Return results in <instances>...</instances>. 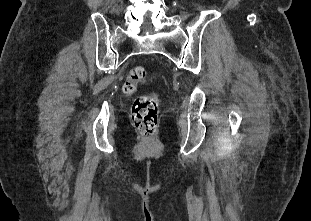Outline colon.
<instances>
[{"mask_svg":"<svg viewBox=\"0 0 311 221\" xmlns=\"http://www.w3.org/2000/svg\"><path fill=\"white\" fill-rule=\"evenodd\" d=\"M145 78V69L142 66L134 67L123 83V92L126 95L134 94ZM158 98L154 94L137 97L132 107V123L135 129L146 136L147 141L153 140L158 120Z\"/></svg>","mask_w":311,"mask_h":221,"instance_id":"1","label":"colon"}]
</instances>
